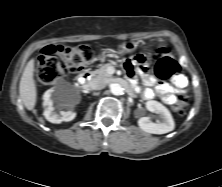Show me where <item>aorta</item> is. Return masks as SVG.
<instances>
[{
    "mask_svg": "<svg viewBox=\"0 0 222 187\" xmlns=\"http://www.w3.org/2000/svg\"><path fill=\"white\" fill-rule=\"evenodd\" d=\"M122 87L118 83L111 84L110 91L113 95H120L122 93Z\"/></svg>",
    "mask_w": 222,
    "mask_h": 187,
    "instance_id": "aorta-1",
    "label": "aorta"
}]
</instances>
